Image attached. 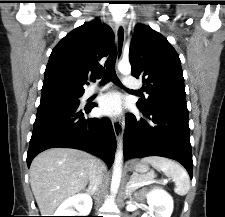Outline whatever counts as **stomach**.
I'll use <instances>...</instances> for the list:
<instances>
[{
    "label": "stomach",
    "instance_id": "1",
    "mask_svg": "<svg viewBox=\"0 0 225 217\" xmlns=\"http://www.w3.org/2000/svg\"><path fill=\"white\" fill-rule=\"evenodd\" d=\"M131 169L134 173H140L141 175H144L148 172L149 166L143 160H133L131 162Z\"/></svg>",
    "mask_w": 225,
    "mask_h": 217
}]
</instances>
